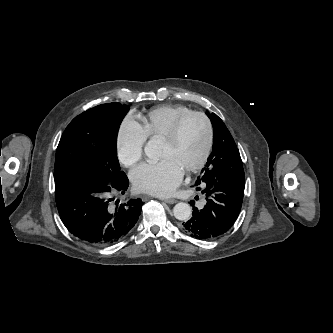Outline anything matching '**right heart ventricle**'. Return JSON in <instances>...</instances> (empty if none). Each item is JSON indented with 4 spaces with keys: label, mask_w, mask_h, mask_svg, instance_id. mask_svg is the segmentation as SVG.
<instances>
[{
    "label": "right heart ventricle",
    "mask_w": 333,
    "mask_h": 333,
    "mask_svg": "<svg viewBox=\"0 0 333 333\" xmlns=\"http://www.w3.org/2000/svg\"><path fill=\"white\" fill-rule=\"evenodd\" d=\"M192 110L182 105H164L149 110L141 117V125L147 138H163L173 123Z\"/></svg>",
    "instance_id": "obj_1"
}]
</instances>
